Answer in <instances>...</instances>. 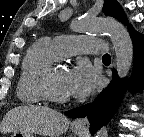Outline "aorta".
Wrapping results in <instances>:
<instances>
[{
	"mask_svg": "<svg viewBox=\"0 0 144 137\" xmlns=\"http://www.w3.org/2000/svg\"><path fill=\"white\" fill-rule=\"evenodd\" d=\"M75 31H87L92 33L106 32L109 34L115 50L116 70L119 78L128 75L133 60V46L131 37L126 28L116 20L84 18L71 24ZM108 126H103L96 137H107Z\"/></svg>",
	"mask_w": 144,
	"mask_h": 137,
	"instance_id": "762f6f07",
	"label": "aorta"
}]
</instances>
